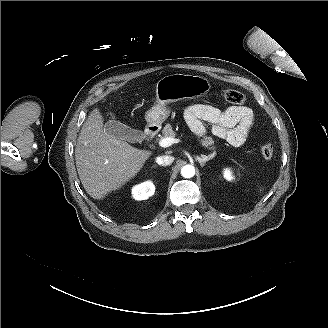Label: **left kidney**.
Listing matches in <instances>:
<instances>
[{
	"label": "left kidney",
	"mask_w": 328,
	"mask_h": 328,
	"mask_svg": "<svg viewBox=\"0 0 328 328\" xmlns=\"http://www.w3.org/2000/svg\"><path fill=\"white\" fill-rule=\"evenodd\" d=\"M223 177L228 181H231L234 179V176H233L230 168L223 169Z\"/></svg>",
	"instance_id": "5707ae66"
}]
</instances>
